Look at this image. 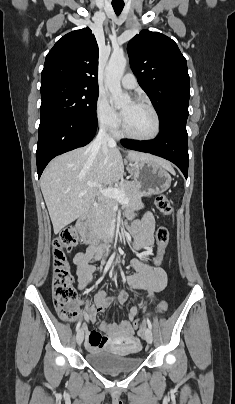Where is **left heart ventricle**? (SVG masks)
I'll use <instances>...</instances> for the list:
<instances>
[{"label": "left heart ventricle", "mask_w": 235, "mask_h": 404, "mask_svg": "<svg viewBox=\"0 0 235 404\" xmlns=\"http://www.w3.org/2000/svg\"><path fill=\"white\" fill-rule=\"evenodd\" d=\"M122 118L127 130L136 136H148L154 130V117L144 106L127 102L121 108Z\"/></svg>", "instance_id": "obj_1"}]
</instances>
